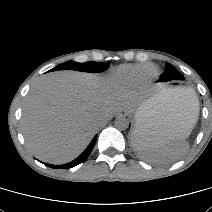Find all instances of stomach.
I'll return each mask as SVG.
<instances>
[{"mask_svg": "<svg viewBox=\"0 0 212 212\" xmlns=\"http://www.w3.org/2000/svg\"><path fill=\"white\" fill-rule=\"evenodd\" d=\"M174 88H165L159 91L154 97L148 101L142 103L137 111L136 115H140L143 118L148 119V123L153 125L154 128L163 133V136L166 137H179V134L172 129H164L163 127L167 124L168 119V109L166 106H161L160 103L165 100V97H162V92ZM135 115V116H136ZM135 128L132 133V139H134Z\"/></svg>", "mask_w": 212, "mask_h": 212, "instance_id": "1", "label": "stomach"}]
</instances>
